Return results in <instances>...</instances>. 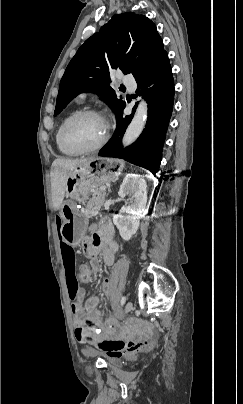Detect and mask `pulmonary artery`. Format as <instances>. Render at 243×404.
Masks as SVG:
<instances>
[{
    "mask_svg": "<svg viewBox=\"0 0 243 404\" xmlns=\"http://www.w3.org/2000/svg\"><path fill=\"white\" fill-rule=\"evenodd\" d=\"M127 87H128V89H129L130 91H133V90H135L136 85H135V84H133V85H128ZM80 98H81V99L85 98V95H84V94L80 95Z\"/></svg>",
    "mask_w": 243,
    "mask_h": 404,
    "instance_id": "pulmonary-artery-1",
    "label": "pulmonary artery"
}]
</instances>
